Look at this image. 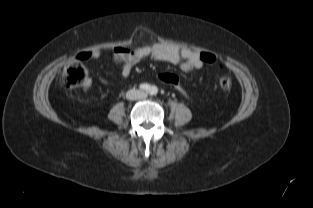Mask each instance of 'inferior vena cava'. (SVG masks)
Returning a JSON list of instances; mask_svg holds the SVG:
<instances>
[{"mask_svg":"<svg viewBox=\"0 0 313 208\" xmlns=\"http://www.w3.org/2000/svg\"><path fill=\"white\" fill-rule=\"evenodd\" d=\"M130 99H135V97H129Z\"/></svg>","mask_w":313,"mask_h":208,"instance_id":"inferior-vena-cava-1","label":"inferior vena cava"}]
</instances>
